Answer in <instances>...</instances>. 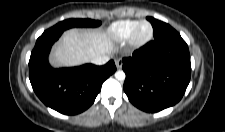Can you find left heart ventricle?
Instances as JSON below:
<instances>
[{
  "label": "left heart ventricle",
  "mask_w": 225,
  "mask_h": 132,
  "mask_svg": "<svg viewBox=\"0 0 225 132\" xmlns=\"http://www.w3.org/2000/svg\"><path fill=\"white\" fill-rule=\"evenodd\" d=\"M149 32V26L148 25H143L141 28H140V35L141 36H145L146 34H148Z\"/></svg>",
  "instance_id": "1"
}]
</instances>
